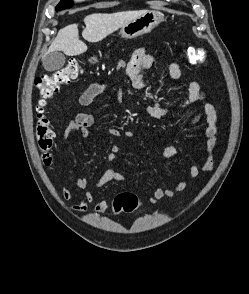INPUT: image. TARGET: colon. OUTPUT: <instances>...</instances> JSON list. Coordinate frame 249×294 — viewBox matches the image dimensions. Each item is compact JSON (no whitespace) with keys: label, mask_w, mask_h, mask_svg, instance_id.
I'll return each mask as SVG.
<instances>
[{"label":"colon","mask_w":249,"mask_h":294,"mask_svg":"<svg viewBox=\"0 0 249 294\" xmlns=\"http://www.w3.org/2000/svg\"><path fill=\"white\" fill-rule=\"evenodd\" d=\"M187 60L191 64H204L207 62V53L200 47H188L185 49ZM82 72L81 64L78 59H70L62 68L38 76L35 84L38 88V101L35 107L36 111V136L39 148L43 151V160L46 165L52 160L51 149L55 140V131L50 126V121L45 115V105L47 100L53 96L61 85L69 83L76 79ZM139 205L138 198L132 193L118 194L112 204V210L115 214L132 213Z\"/></svg>","instance_id":"obj_1"}]
</instances>
